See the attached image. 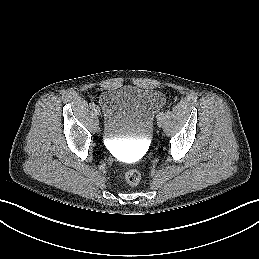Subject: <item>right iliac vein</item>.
<instances>
[{"mask_svg":"<svg viewBox=\"0 0 259 259\" xmlns=\"http://www.w3.org/2000/svg\"><path fill=\"white\" fill-rule=\"evenodd\" d=\"M94 110H95L96 115H99L100 110L97 107Z\"/></svg>","mask_w":259,"mask_h":259,"instance_id":"1","label":"right iliac vein"}]
</instances>
